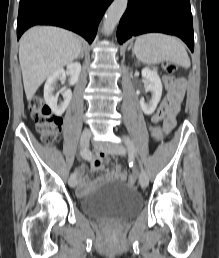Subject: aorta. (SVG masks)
I'll use <instances>...</instances> for the list:
<instances>
[{
  "mask_svg": "<svg viewBox=\"0 0 219 258\" xmlns=\"http://www.w3.org/2000/svg\"><path fill=\"white\" fill-rule=\"evenodd\" d=\"M127 5L128 0H114L110 5L103 22V32L105 35L109 36L113 33L116 25L125 12Z\"/></svg>",
  "mask_w": 219,
  "mask_h": 258,
  "instance_id": "obj_1",
  "label": "aorta"
}]
</instances>
